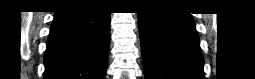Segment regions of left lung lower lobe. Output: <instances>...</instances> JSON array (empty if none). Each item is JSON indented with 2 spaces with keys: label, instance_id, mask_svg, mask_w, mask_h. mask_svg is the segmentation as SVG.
Instances as JSON below:
<instances>
[{
  "label": "left lung lower lobe",
  "instance_id": "obj_1",
  "mask_svg": "<svg viewBox=\"0 0 255 79\" xmlns=\"http://www.w3.org/2000/svg\"><path fill=\"white\" fill-rule=\"evenodd\" d=\"M146 79H203V57L189 13H138Z\"/></svg>",
  "mask_w": 255,
  "mask_h": 79
}]
</instances>
